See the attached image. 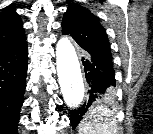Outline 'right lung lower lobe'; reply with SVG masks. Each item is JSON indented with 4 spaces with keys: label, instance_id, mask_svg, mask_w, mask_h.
Instances as JSON below:
<instances>
[{
    "label": "right lung lower lobe",
    "instance_id": "obj_1",
    "mask_svg": "<svg viewBox=\"0 0 153 134\" xmlns=\"http://www.w3.org/2000/svg\"><path fill=\"white\" fill-rule=\"evenodd\" d=\"M27 42L0 54V134H17L26 87Z\"/></svg>",
    "mask_w": 153,
    "mask_h": 134
}]
</instances>
